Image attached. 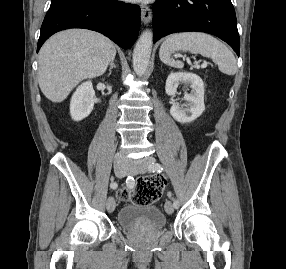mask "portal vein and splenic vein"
I'll list each match as a JSON object with an SVG mask.
<instances>
[{
	"mask_svg": "<svg viewBox=\"0 0 286 269\" xmlns=\"http://www.w3.org/2000/svg\"><path fill=\"white\" fill-rule=\"evenodd\" d=\"M200 67L201 68H206L207 67V63L206 62L202 63Z\"/></svg>",
	"mask_w": 286,
	"mask_h": 269,
	"instance_id": "portal-vein-and-splenic-vein-1",
	"label": "portal vein and splenic vein"
}]
</instances>
